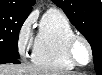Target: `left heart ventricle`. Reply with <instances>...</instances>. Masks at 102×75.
<instances>
[{"instance_id": "b2bd125f", "label": "left heart ventricle", "mask_w": 102, "mask_h": 75, "mask_svg": "<svg viewBox=\"0 0 102 75\" xmlns=\"http://www.w3.org/2000/svg\"><path fill=\"white\" fill-rule=\"evenodd\" d=\"M77 58L80 62H85L87 59L86 48L82 43H78L76 46Z\"/></svg>"}]
</instances>
